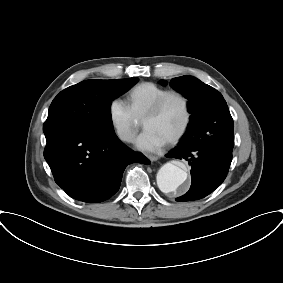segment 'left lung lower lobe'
Wrapping results in <instances>:
<instances>
[{
    "mask_svg": "<svg viewBox=\"0 0 283 283\" xmlns=\"http://www.w3.org/2000/svg\"><path fill=\"white\" fill-rule=\"evenodd\" d=\"M202 126L188 127L178 145L166 157L185 159L191 166L192 184L177 201L201 199L214 191L226 178L232 161V150L207 145L202 139Z\"/></svg>",
    "mask_w": 283,
    "mask_h": 283,
    "instance_id": "left-lung-lower-lobe-1",
    "label": "left lung lower lobe"
}]
</instances>
